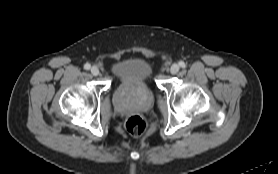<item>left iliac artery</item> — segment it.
Returning a JSON list of instances; mask_svg holds the SVG:
<instances>
[{"mask_svg":"<svg viewBox=\"0 0 278 174\" xmlns=\"http://www.w3.org/2000/svg\"><path fill=\"white\" fill-rule=\"evenodd\" d=\"M179 65H180L181 67H185V63H184L183 61H180V62H179Z\"/></svg>","mask_w":278,"mask_h":174,"instance_id":"left-iliac-artery-1","label":"left iliac artery"}]
</instances>
